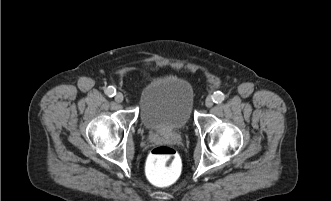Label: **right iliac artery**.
I'll return each mask as SVG.
<instances>
[{"instance_id":"right-iliac-artery-1","label":"right iliac artery","mask_w":331,"mask_h":201,"mask_svg":"<svg viewBox=\"0 0 331 201\" xmlns=\"http://www.w3.org/2000/svg\"><path fill=\"white\" fill-rule=\"evenodd\" d=\"M106 95H108L109 97H113L116 94V89L113 86H109L106 90H105Z\"/></svg>"}]
</instances>
